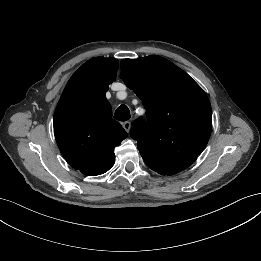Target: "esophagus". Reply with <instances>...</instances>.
I'll list each match as a JSON object with an SVG mask.
<instances>
[{
    "mask_svg": "<svg viewBox=\"0 0 261 261\" xmlns=\"http://www.w3.org/2000/svg\"><path fill=\"white\" fill-rule=\"evenodd\" d=\"M122 125H123V128L125 129L126 132L130 131L131 123L129 121L124 122Z\"/></svg>",
    "mask_w": 261,
    "mask_h": 261,
    "instance_id": "obj_1",
    "label": "esophagus"
}]
</instances>
